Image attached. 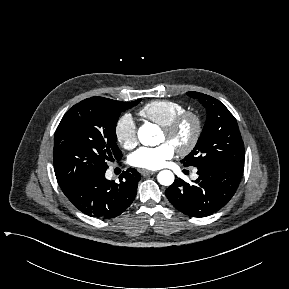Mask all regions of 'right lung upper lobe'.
<instances>
[{
  "label": "right lung upper lobe",
  "instance_id": "1",
  "mask_svg": "<svg viewBox=\"0 0 289 289\" xmlns=\"http://www.w3.org/2000/svg\"><path fill=\"white\" fill-rule=\"evenodd\" d=\"M96 100H99V101H103V102H117L115 100H111V99H107V98H103V97H92Z\"/></svg>",
  "mask_w": 289,
  "mask_h": 289
}]
</instances>
